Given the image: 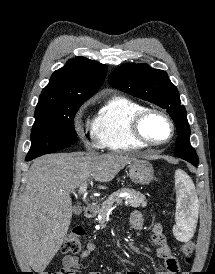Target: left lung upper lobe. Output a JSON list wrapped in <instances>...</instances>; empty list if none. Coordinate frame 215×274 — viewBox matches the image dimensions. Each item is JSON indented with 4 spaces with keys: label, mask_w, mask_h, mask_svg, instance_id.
<instances>
[{
    "label": "left lung upper lobe",
    "mask_w": 215,
    "mask_h": 274,
    "mask_svg": "<svg viewBox=\"0 0 215 274\" xmlns=\"http://www.w3.org/2000/svg\"><path fill=\"white\" fill-rule=\"evenodd\" d=\"M112 87L135 97L154 103L173 119L178 138L174 154L186 161L199 162L195 149L190 145V127L179 92L167 73L147 64H127L116 68L109 76Z\"/></svg>",
    "instance_id": "1"
}]
</instances>
